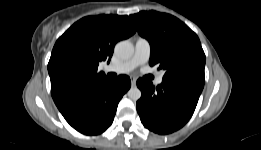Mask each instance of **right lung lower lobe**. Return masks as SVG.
<instances>
[{"label":"right lung lower lobe","mask_w":261,"mask_h":150,"mask_svg":"<svg viewBox=\"0 0 261 150\" xmlns=\"http://www.w3.org/2000/svg\"><path fill=\"white\" fill-rule=\"evenodd\" d=\"M131 86L125 75L107 79L92 88L77 92L56 104L66 121L86 135L104 132L113 122L117 105Z\"/></svg>","instance_id":"98d812e1"}]
</instances>
